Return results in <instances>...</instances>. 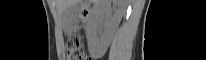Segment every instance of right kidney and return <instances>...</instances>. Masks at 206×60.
I'll return each instance as SVG.
<instances>
[{
	"label": "right kidney",
	"mask_w": 206,
	"mask_h": 60,
	"mask_svg": "<svg viewBox=\"0 0 206 60\" xmlns=\"http://www.w3.org/2000/svg\"><path fill=\"white\" fill-rule=\"evenodd\" d=\"M123 14L119 0H102L95 6L89 28V44L98 50H106Z\"/></svg>",
	"instance_id": "obj_1"
}]
</instances>
